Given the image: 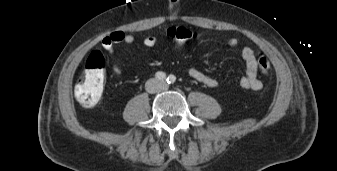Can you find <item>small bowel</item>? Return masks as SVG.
<instances>
[{"label":"small bowel","instance_id":"1","mask_svg":"<svg viewBox=\"0 0 337 171\" xmlns=\"http://www.w3.org/2000/svg\"><path fill=\"white\" fill-rule=\"evenodd\" d=\"M134 42L135 37L132 34L123 31H114L103 37L101 45L106 51L113 53L117 44H132ZM142 43L145 47L152 48L157 45L158 40L155 36H147L143 39ZM238 44L239 40L237 38L231 37L228 39V45L230 47H236ZM241 56L245 62V75L240 79V86L248 90H260L263 84L258 78V66L254 50L251 47L245 46L242 48ZM111 69L115 75L121 74V69L116 64H113ZM188 75L193 80L209 88H216L218 86V81L215 78L196 67H191L188 70Z\"/></svg>","mask_w":337,"mask_h":171}]
</instances>
